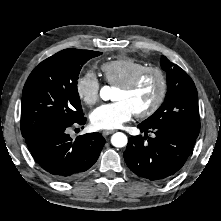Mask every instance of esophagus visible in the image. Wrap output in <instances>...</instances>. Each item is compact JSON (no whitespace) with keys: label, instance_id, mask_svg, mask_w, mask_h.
I'll return each mask as SVG.
<instances>
[{"label":"esophagus","instance_id":"esophagus-1","mask_svg":"<svg viewBox=\"0 0 221 221\" xmlns=\"http://www.w3.org/2000/svg\"><path fill=\"white\" fill-rule=\"evenodd\" d=\"M114 132H115L114 130H105V131H102V135L103 136H108V135H110V134H112Z\"/></svg>","mask_w":221,"mask_h":221}]
</instances>
